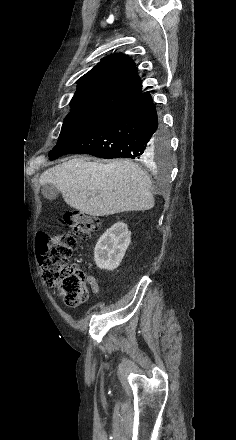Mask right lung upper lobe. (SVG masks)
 <instances>
[{
	"label": "right lung upper lobe",
	"mask_w": 236,
	"mask_h": 440,
	"mask_svg": "<svg viewBox=\"0 0 236 440\" xmlns=\"http://www.w3.org/2000/svg\"><path fill=\"white\" fill-rule=\"evenodd\" d=\"M71 103L86 102L117 107L143 93L136 64L125 54L103 58L78 81Z\"/></svg>",
	"instance_id": "1"
}]
</instances>
